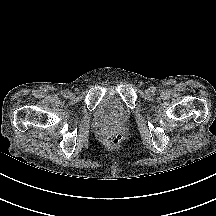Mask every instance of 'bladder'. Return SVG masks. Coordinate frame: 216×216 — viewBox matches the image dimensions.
I'll return each mask as SVG.
<instances>
[{
	"mask_svg": "<svg viewBox=\"0 0 216 216\" xmlns=\"http://www.w3.org/2000/svg\"><path fill=\"white\" fill-rule=\"evenodd\" d=\"M128 117L127 110L115 97L104 98L95 110V118L100 125H123Z\"/></svg>",
	"mask_w": 216,
	"mask_h": 216,
	"instance_id": "31cf9c89",
	"label": "bladder"
}]
</instances>
